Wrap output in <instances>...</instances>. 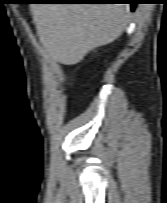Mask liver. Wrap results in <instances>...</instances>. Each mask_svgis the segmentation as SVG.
Instances as JSON below:
<instances>
[{"instance_id": "6515ba94", "label": "liver", "mask_w": 167, "mask_h": 203, "mask_svg": "<svg viewBox=\"0 0 167 203\" xmlns=\"http://www.w3.org/2000/svg\"><path fill=\"white\" fill-rule=\"evenodd\" d=\"M32 12L44 48L64 65L113 42L129 22V7L123 4H34Z\"/></svg>"}]
</instances>
